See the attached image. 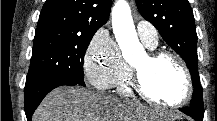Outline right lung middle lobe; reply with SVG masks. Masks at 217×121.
Here are the masks:
<instances>
[{
	"label": "right lung middle lobe",
	"mask_w": 217,
	"mask_h": 121,
	"mask_svg": "<svg viewBox=\"0 0 217 121\" xmlns=\"http://www.w3.org/2000/svg\"><path fill=\"white\" fill-rule=\"evenodd\" d=\"M94 34L59 27L37 28L25 86L55 75L70 77L84 86L83 59Z\"/></svg>",
	"instance_id": "dd1d6c3e"
}]
</instances>
